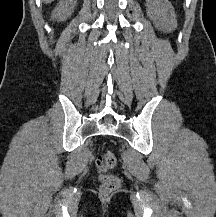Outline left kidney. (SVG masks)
<instances>
[{"instance_id": "1", "label": "left kidney", "mask_w": 216, "mask_h": 217, "mask_svg": "<svg viewBox=\"0 0 216 217\" xmlns=\"http://www.w3.org/2000/svg\"><path fill=\"white\" fill-rule=\"evenodd\" d=\"M146 11L159 30L170 32L177 27L174 8L168 0H146Z\"/></svg>"}]
</instances>
